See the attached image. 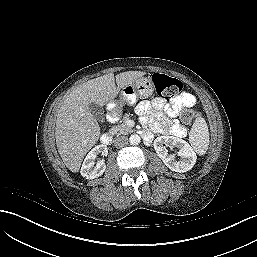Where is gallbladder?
Returning a JSON list of instances; mask_svg holds the SVG:
<instances>
[{
    "mask_svg": "<svg viewBox=\"0 0 257 257\" xmlns=\"http://www.w3.org/2000/svg\"><path fill=\"white\" fill-rule=\"evenodd\" d=\"M89 109L91 114L99 121H103L104 120V113H103V109L101 108V106L95 104V103H90L89 104Z\"/></svg>",
    "mask_w": 257,
    "mask_h": 257,
    "instance_id": "gallbladder-1",
    "label": "gallbladder"
}]
</instances>
